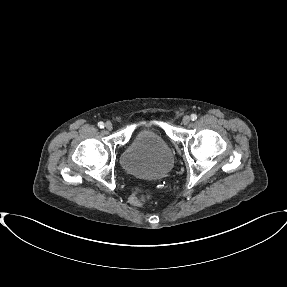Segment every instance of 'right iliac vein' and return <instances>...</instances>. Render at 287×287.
<instances>
[{
  "mask_svg": "<svg viewBox=\"0 0 287 287\" xmlns=\"http://www.w3.org/2000/svg\"><path fill=\"white\" fill-rule=\"evenodd\" d=\"M105 128H106L107 130H109V131L112 130V129H113L112 123H111V122H106Z\"/></svg>",
  "mask_w": 287,
  "mask_h": 287,
  "instance_id": "right-iliac-vein-1",
  "label": "right iliac vein"
}]
</instances>
